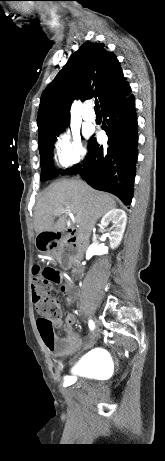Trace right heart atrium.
I'll use <instances>...</instances> for the list:
<instances>
[{"label": "right heart atrium", "mask_w": 165, "mask_h": 461, "mask_svg": "<svg viewBox=\"0 0 165 461\" xmlns=\"http://www.w3.org/2000/svg\"><path fill=\"white\" fill-rule=\"evenodd\" d=\"M56 161L59 166L69 168L85 159L86 150L80 137L70 132L61 133L55 143Z\"/></svg>", "instance_id": "d8ad5b80"}]
</instances>
